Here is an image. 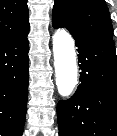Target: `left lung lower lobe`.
Segmentation results:
<instances>
[{
    "mask_svg": "<svg viewBox=\"0 0 117 136\" xmlns=\"http://www.w3.org/2000/svg\"><path fill=\"white\" fill-rule=\"evenodd\" d=\"M67 28L82 70L75 94L57 105L59 136H117V58L113 39Z\"/></svg>",
    "mask_w": 117,
    "mask_h": 136,
    "instance_id": "left-lung-lower-lobe-1",
    "label": "left lung lower lobe"
}]
</instances>
